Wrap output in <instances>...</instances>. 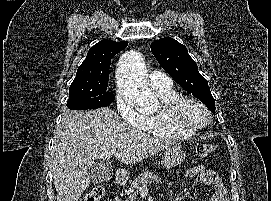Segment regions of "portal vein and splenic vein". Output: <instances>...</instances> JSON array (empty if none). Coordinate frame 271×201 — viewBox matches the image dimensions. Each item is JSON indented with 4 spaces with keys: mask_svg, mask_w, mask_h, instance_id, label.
Returning a JSON list of instances; mask_svg holds the SVG:
<instances>
[{
    "mask_svg": "<svg viewBox=\"0 0 271 201\" xmlns=\"http://www.w3.org/2000/svg\"><path fill=\"white\" fill-rule=\"evenodd\" d=\"M140 190H147V187L146 186H142V187H140Z\"/></svg>",
    "mask_w": 271,
    "mask_h": 201,
    "instance_id": "1",
    "label": "portal vein and splenic vein"
}]
</instances>
